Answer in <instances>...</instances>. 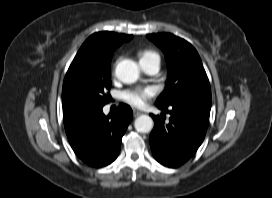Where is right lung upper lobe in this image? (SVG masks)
I'll return each instance as SVG.
<instances>
[{
  "label": "right lung upper lobe",
  "mask_w": 272,
  "mask_h": 198,
  "mask_svg": "<svg viewBox=\"0 0 272 198\" xmlns=\"http://www.w3.org/2000/svg\"><path fill=\"white\" fill-rule=\"evenodd\" d=\"M132 38V35L104 31L94 33L83 43L63 82L62 105L64 117L82 109L77 96L79 84L97 71L110 67L114 50L123 42L130 41Z\"/></svg>",
  "instance_id": "obj_1"
}]
</instances>
